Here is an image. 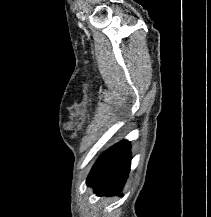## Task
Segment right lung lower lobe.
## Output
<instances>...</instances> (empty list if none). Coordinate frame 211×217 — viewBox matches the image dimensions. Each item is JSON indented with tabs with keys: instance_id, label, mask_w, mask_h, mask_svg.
I'll list each match as a JSON object with an SVG mask.
<instances>
[{
	"instance_id": "98d812e1",
	"label": "right lung lower lobe",
	"mask_w": 211,
	"mask_h": 217,
	"mask_svg": "<svg viewBox=\"0 0 211 217\" xmlns=\"http://www.w3.org/2000/svg\"><path fill=\"white\" fill-rule=\"evenodd\" d=\"M130 162V142L123 140L99 157L88 175L87 185L98 196L119 193L128 177Z\"/></svg>"
}]
</instances>
